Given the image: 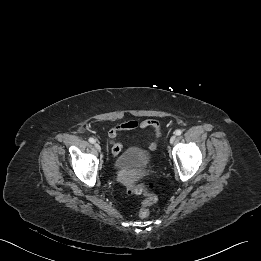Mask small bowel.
Segmentation results:
<instances>
[{
  "instance_id": "1",
  "label": "small bowel",
  "mask_w": 261,
  "mask_h": 261,
  "mask_svg": "<svg viewBox=\"0 0 261 261\" xmlns=\"http://www.w3.org/2000/svg\"><path fill=\"white\" fill-rule=\"evenodd\" d=\"M147 128L153 129L157 136L160 135L161 124L159 121L155 119H144L141 121L131 120L112 127L107 132V137L112 147V155L114 157H117L123 148V144L119 141H116V138H118L123 131L147 129ZM151 147L152 148L156 147V142H153L151 144Z\"/></svg>"
}]
</instances>
